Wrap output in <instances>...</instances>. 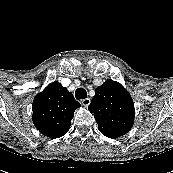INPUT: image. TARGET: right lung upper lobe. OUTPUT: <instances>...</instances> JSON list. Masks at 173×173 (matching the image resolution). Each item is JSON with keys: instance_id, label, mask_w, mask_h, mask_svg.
Returning a JSON list of instances; mask_svg holds the SVG:
<instances>
[{"instance_id": "cb5924a9", "label": "right lung upper lobe", "mask_w": 173, "mask_h": 173, "mask_svg": "<svg viewBox=\"0 0 173 173\" xmlns=\"http://www.w3.org/2000/svg\"><path fill=\"white\" fill-rule=\"evenodd\" d=\"M79 106L72 93L55 81L35 96L32 119L42 134L59 138L70 129L74 111Z\"/></svg>"}]
</instances>
